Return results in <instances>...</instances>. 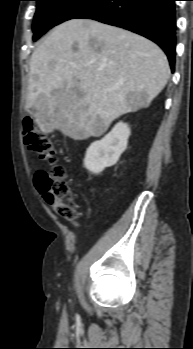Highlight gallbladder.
Instances as JSON below:
<instances>
[{
	"label": "gallbladder",
	"mask_w": 193,
	"mask_h": 349,
	"mask_svg": "<svg viewBox=\"0 0 193 349\" xmlns=\"http://www.w3.org/2000/svg\"><path fill=\"white\" fill-rule=\"evenodd\" d=\"M30 112H31V114H35L36 113V108L35 107L30 108Z\"/></svg>",
	"instance_id": "bac80fb5"
}]
</instances>
